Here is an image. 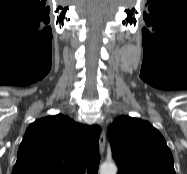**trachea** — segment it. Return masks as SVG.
<instances>
[{
    "instance_id": "trachea-1",
    "label": "trachea",
    "mask_w": 187,
    "mask_h": 174,
    "mask_svg": "<svg viewBox=\"0 0 187 174\" xmlns=\"http://www.w3.org/2000/svg\"><path fill=\"white\" fill-rule=\"evenodd\" d=\"M100 163V155L99 154H93L90 158L89 166H88V174H97L98 168Z\"/></svg>"
}]
</instances>
